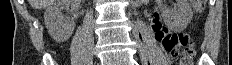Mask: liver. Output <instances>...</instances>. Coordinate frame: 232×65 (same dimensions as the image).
Segmentation results:
<instances>
[{
    "label": "liver",
    "mask_w": 232,
    "mask_h": 65,
    "mask_svg": "<svg viewBox=\"0 0 232 65\" xmlns=\"http://www.w3.org/2000/svg\"><path fill=\"white\" fill-rule=\"evenodd\" d=\"M55 0H29V4L34 9H43L54 3Z\"/></svg>",
    "instance_id": "obj_1"
}]
</instances>
